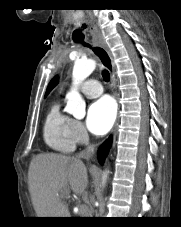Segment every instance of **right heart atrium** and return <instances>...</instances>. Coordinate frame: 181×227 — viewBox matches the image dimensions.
Returning a JSON list of instances; mask_svg holds the SVG:
<instances>
[{
  "label": "right heart atrium",
  "mask_w": 181,
  "mask_h": 227,
  "mask_svg": "<svg viewBox=\"0 0 181 227\" xmlns=\"http://www.w3.org/2000/svg\"><path fill=\"white\" fill-rule=\"evenodd\" d=\"M71 134L75 143L84 145L89 141V135L83 126V124L78 120H72L71 122Z\"/></svg>",
  "instance_id": "right-heart-atrium-1"
}]
</instances>
